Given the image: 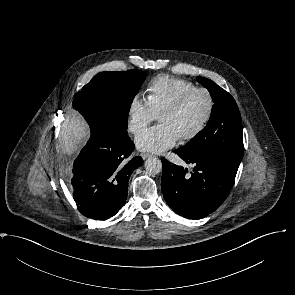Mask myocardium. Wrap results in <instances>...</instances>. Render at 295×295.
I'll return each instance as SVG.
<instances>
[{
  "instance_id": "obj_1",
  "label": "myocardium",
  "mask_w": 295,
  "mask_h": 295,
  "mask_svg": "<svg viewBox=\"0 0 295 295\" xmlns=\"http://www.w3.org/2000/svg\"><path fill=\"white\" fill-rule=\"evenodd\" d=\"M195 93H203L205 95L208 107L204 118L198 124V126L190 133L180 136V139L184 141H189L198 137L210 123L216 106L213 93L204 86H194L188 91H186L184 94H182L175 102L166 107L159 115L160 118L161 116L166 114H174L180 112Z\"/></svg>"
}]
</instances>
